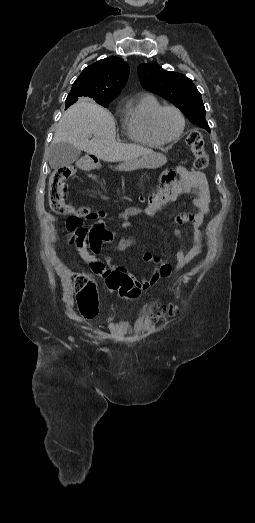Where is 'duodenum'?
Wrapping results in <instances>:
<instances>
[{"mask_svg": "<svg viewBox=\"0 0 255 523\" xmlns=\"http://www.w3.org/2000/svg\"><path fill=\"white\" fill-rule=\"evenodd\" d=\"M78 166L83 171H92L98 168V159L94 155H86L82 157Z\"/></svg>", "mask_w": 255, "mask_h": 523, "instance_id": "410a0bca", "label": "duodenum"}]
</instances>
